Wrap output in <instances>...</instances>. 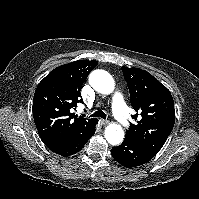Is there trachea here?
Wrapping results in <instances>:
<instances>
[{
	"label": "trachea",
	"instance_id": "3493384b",
	"mask_svg": "<svg viewBox=\"0 0 199 199\" xmlns=\"http://www.w3.org/2000/svg\"><path fill=\"white\" fill-rule=\"evenodd\" d=\"M90 117H101L103 119H106V114L102 110H98L90 115Z\"/></svg>",
	"mask_w": 199,
	"mask_h": 199
}]
</instances>
